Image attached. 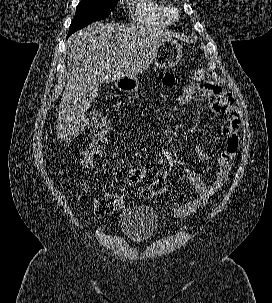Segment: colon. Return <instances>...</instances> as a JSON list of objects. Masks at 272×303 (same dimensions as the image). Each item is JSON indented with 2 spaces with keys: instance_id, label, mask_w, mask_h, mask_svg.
<instances>
[{
  "instance_id": "obj_1",
  "label": "colon",
  "mask_w": 272,
  "mask_h": 303,
  "mask_svg": "<svg viewBox=\"0 0 272 303\" xmlns=\"http://www.w3.org/2000/svg\"><path fill=\"white\" fill-rule=\"evenodd\" d=\"M205 77L206 71L203 68H200L194 72L193 82L183 90L182 94L178 98V108L187 105L192 98L195 86L198 83L203 82ZM90 125L95 133V136L82 158L81 166L84 169L91 167L92 164L101 157L103 150L107 146V136L109 133V125L106 119L101 115L92 117ZM167 184L168 179L166 173L162 170H158L154 175L152 183L141 190V196L143 198L159 196L165 192ZM87 191V188L83 187L82 192L87 193ZM122 204V197L117 194H99L93 200V210L97 216L106 217L119 209Z\"/></svg>"
}]
</instances>
